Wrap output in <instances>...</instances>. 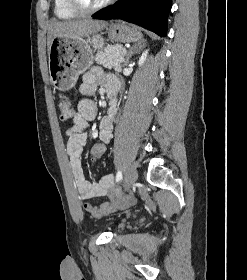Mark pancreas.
Listing matches in <instances>:
<instances>
[{"label":"pancreas","instance_id":"cf45deb5","mask_svg":"<svg viewBox=\"0 0 247 280\" xmlns=\"http://www.w3.org/2000/svg\"><path fill=\"white\" fill-rule=\"evenodd\" d=\"M124 52L125 49L121 45H108L96 54L95 61L108 69L113 68L115 71L120 72L122 64L119 58L123 56Z\"/></svg>","mask_w":247,"mask_h":280}]
</instances>
